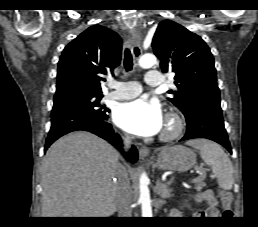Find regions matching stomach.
Listing matches in <instances>:
<instances>
[{"label":"stomach","instance_id":"obj_1","mask_svg":"<svg viewBox=\"0 0 258 227\" xmlns=\"http://www.w3.org/2000/svg\"><path fill=\"white\" fill-rule=\"evenodd\" d=\"M196 164V154L193 150L181 146L163 148L156 159L155 167L161 170L184 172Z\"/></svg>","mask_w":258,"mask_h":227}]
</instances>
